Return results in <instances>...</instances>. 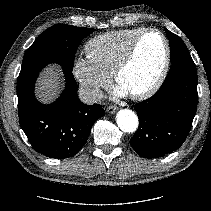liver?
Listing matches in <instances>:
<instances>
[{"label": "liver", "mask_w": 211, "mask_h": 211, "mask_svg": "<svg viewBox=\"0 0 211 211\" xmlns=\"http://www.w3.org/2000/svg\"><path fill=\"white\" fill-rule=\"evenodd\" d=\"M62 86L59 72L53 68H47L38 81L37 96L43 102H50L57 97Z\"/></svg>", "instance_id": "liver-1"}]
</instances>
